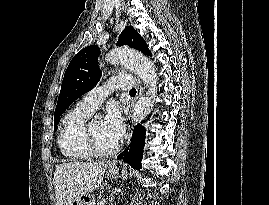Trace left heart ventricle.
<instances>
[{"label": "left heart ventricle", "mask_w": 269, "mask_h": 205, "mask_svg": "<svg viewBox=\"0 0 269 205\" xmlns=\"http://www.w3.org/2000/svg\"><path fill=\"white\" fill-rule=\"evenodd\" d=\"M91 132L99 148L107 150L115 146L116 143L104 134L101 121L97 120L91 123Z\"/></svg>", "instance_id": "b2bd125f"}]
</instances>
